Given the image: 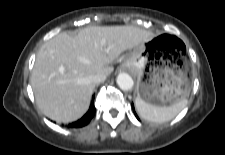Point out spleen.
Instances as JSON below:
<instances>
[{"mask_svg": "<svg viewBox=\"0 0 225 155\" xmlns=\"http://www.w3.org/2000/svg\"><path fill=\"white\" fill-rule=\"evenodd\" d=\"M187 105L186 99L170 105V106H154L140 97L135 99V106L140 116L150 122L162 123L173 119Z\"/></svg>", "mask_w": 225, "mask_h": 155, "instance_id": "spleen-1", "label": "spleen"}]
</instances>
